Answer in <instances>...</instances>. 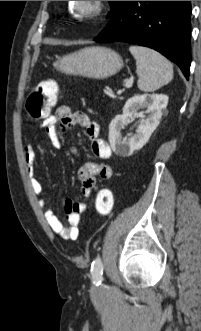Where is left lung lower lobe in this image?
<instances>
[{
    "label": "left lung lower lobe",
    "instance_id": "left-lung-lower-lobe-1",
    "mask_svg": "<svg viewBox=\"0 0 201 331\" xmlns=\"http://www.w3.org/2000/svg\"><path fill=\"white\" fill-rule=\"evenodd\" d=\"M190 1H121L95 41L146 46L176 63L189 78Z\"/></svg>",
    "mask_w": 201,
    "mask_h": 331
}]
</instances>
